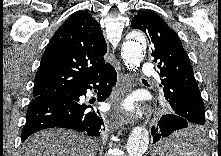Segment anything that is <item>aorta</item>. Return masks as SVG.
Here are the masks:
<instances>
[{"label":"aorta","instance_id":"aorta-1","mask_svg":"<svg viewBox=\"0 0 221 156\" xmlns=\"http://www.w3.org/2000/svg\"><path fill=\"white\" fill-rule=\"evenodd\" d=\"M145 37L142 33L133 31L126 37L122 45L121 56L130 71H136L143 57ZM149 133L141 126L135 127L129 135L126 150L128 156H140L148 148Z\"/></svg>","mask_w":221,"mask_h":156}]
</instances>
